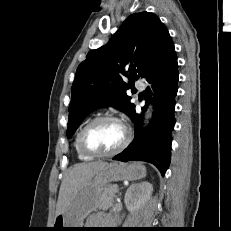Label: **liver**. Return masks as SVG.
<instances>
[{
  "label": "liver",
  "mask_w": 231,
  "mask_h": 231,
  "mask_svg": "<svg viewBox=\"0 0 231 231\" xmlns=\"http://www.w3.org/2000/svg\"><path fill=\"white\" fill-rule=\"evenodd\" d=\"M107 165L103 161L79 163L68 170L60 186L56 216L65 212L73 196Z\"/></svg>",
  "instance_id": "obj_1"
}]
</instances>
